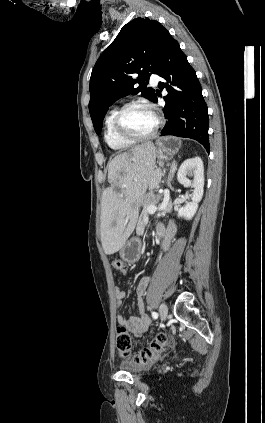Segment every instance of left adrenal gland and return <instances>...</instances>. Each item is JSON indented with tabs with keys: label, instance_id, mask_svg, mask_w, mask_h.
<instances>
[{
	"label": "left adrenal gland",
	"instance_id": "1",
	"mask_svg": "<svg viewBox=\"0 0 265 423\" xmlns=\"http://www.w3.org/2000/svg\"><path fill=\"white\" fill-rule=\"evenodd\" d=\"M176 168H177V164H176V161L174 160L172 162V164H171V167H170V175H169V178L171 177V174H173L175 172Z\"/></svg>",
	"mask_w": 265,
	"mask_h": 423
}]
</instances>
